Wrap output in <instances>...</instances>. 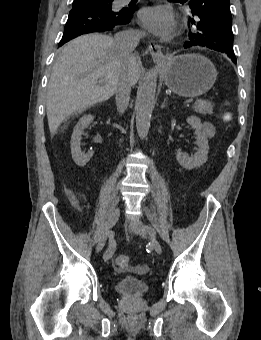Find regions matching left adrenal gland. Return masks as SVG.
I'll list each match as a JSON object with an SVG mask.
<instances>
[{"instance_id": "obj_1", "label": "left adrenal gland", "mask_w": 261, "mask_h": 340, "mask_svg": "<svg viewBox=\"0 0 261 340\" xmlns=\"http://www.w3.org/2000/svg\"><path fill=\"white\" fill-rule=\"evenodd\" d=\"M166 100H167V99L165 98L164 101H163V103H162V105H161V108H162V109L166 106V105H165V104H166Z\"/></svg>"}]
</instances>
